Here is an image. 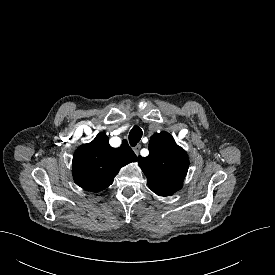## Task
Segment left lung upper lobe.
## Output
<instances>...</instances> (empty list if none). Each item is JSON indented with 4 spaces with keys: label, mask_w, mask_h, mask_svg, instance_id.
Segmentation results:
<instances>
[{
    "label": "left lung upper lobe",
    "mask_w": 275,
    "mask_h": 275,
    "mask_svg": "<svg viewBox=\"0 0 275 275\" xmlns=\"http://www.w3.org/2000/svg\"><path fill=\"white\" fill-rule=\"evenodd\" d=\"M148 149L147 157L138 158L148 186L159 196H170L183 185L189 167L188 156L164 131L151 137Z\"/></svg>",
    "instance_id": "1"
}]
</instances>
